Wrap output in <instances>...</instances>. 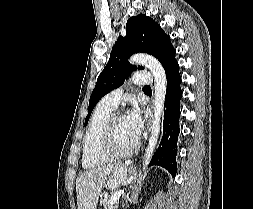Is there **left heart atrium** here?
Returning <instances> with one entry per match:
<instances>
[{
  "instance_id": "left-heart-atrium-1",
  "label": "left heart atrium",
  "mask_w": 253,
  "mask_h": 209,
  "mask_svg": "<svg viewBox=\"0 0 253 209\" xmlns=\"http://www.w3.org/2000/svg\"><path fill=\"white\" fill-rule=\"evenodd\" d=\"M125 121L132 136L137 140L143 129V119L137 106H133L128 111Z\"/></svg>"
}]
</instances>
